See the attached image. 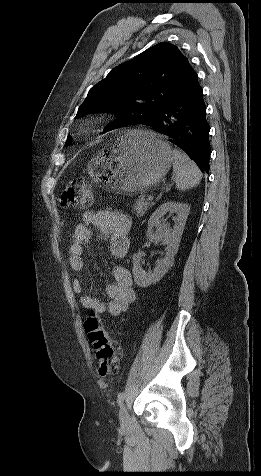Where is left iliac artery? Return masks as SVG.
Wrapping results in <instances>:
<instances>
[{
  "mask_svg": "<svg viewBox=\"0 0 261 476\" xmlns=\"http://www.w3.org/2000/svg\"><path fill=\"white\" fill-rule=\"evenodd\" d=\"M124 398H125V393L124 392H120L118 394V397H117V402L119 405H121L124 401Z\"/></svg>",
  "mask_w": 261,
  "mask_h": 476,
  "instance_id": "1",
  "label": "left iliac artery"
}]
</instances>
